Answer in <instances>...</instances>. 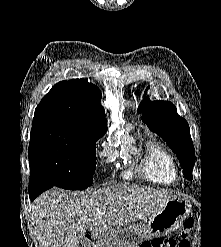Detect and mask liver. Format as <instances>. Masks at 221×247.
<instances>
[{
	"label": "liver",
	"instance_id": "liver-1",
	"mask_svg": "<svg viewBox=\"0 0 221 247\" xmlns=\"http://www.w3.org/2000/svg\"><path fill=\"white\" fill-rule=\"evenodd\" d=\"M176 197L163 190L127 185L83 195L55 188L38 197L31 209L47 247H78L87 230L107 232L144 221Z\"/></svg>",
	"mask_w": 221,
	"mask_h": 247
}]
</instances>
